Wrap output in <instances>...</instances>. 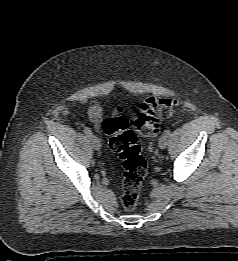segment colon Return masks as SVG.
<instances>
[{
	"mask_svg": "<svg viewBox=\"0 0 238 261\" xmlns=\"http://www.w3.org/2000/svg\"><path fill=\"white\" fill-rule=\"evenodd\" d=\"M178 101L164 97H150L140 105L134 128L146 137L155 136L160 121L175 114ZM121 109H116L120 113ZM103 131L109 138V147L122 161L124 167L121 203L125 210H133L139 201L142 182L147 174V163L141 154L135 133L129 129L126 118L118 115L106 118Z\"/></svg>",
	"mask_w": 238,
	"mask_h": 261,
	"instance_id": "obj_1",
	"label": "colon"
}]
</instances>
